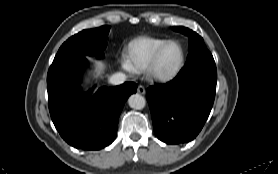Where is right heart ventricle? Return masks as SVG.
Listing matches in <instances>:
<instances>
[{
	"label": "right heart ventricle",
	"mask_w": 278,
	"mask_h": 174,
	"mask_svg": "<svg viewBox=\"0 0 278 174\" xmlns=\"http://www.w3.org/2000/svg\"><path fill=\"white\" fill-rule=\"evenodd\" d=\"M165 41L167 40L163 38L147 36L132 41L128 46V58L132 69L147 70L154 52Z\"/></svg>",
	"instance_id": "right-heart-ventricle-1"
}]
</instances>
